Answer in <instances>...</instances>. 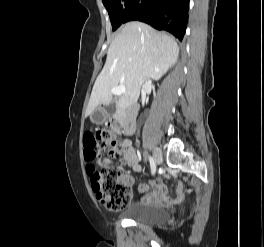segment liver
<instances>
[{"mask_svg":"<svg viewBox=\"0 0 264 247\" xmlns=\"http://www.w3.org/2000/svg\"><path fill=\"white\" fill-rule=\"evenodd\" d=\"M178 55L179 47L169 35L144 23L125 24L110 44L104 68L93 86L87 114L100 105H109L111 89L120 84L126 90L118 101V108L135 104L141 85L148 78L159 80L176 63Z\"/></svg>","mask_w":264,"mask_h":247,"instance_id":"6515ba94","label":"liver"}]
</instances>
